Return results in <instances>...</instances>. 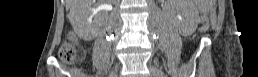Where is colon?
I'll use <instances>...</instances> for the list:
<instances>
[{
  "mask_svg": "<svg viewBox=\"0 0 258 77\" xmlns=\"http://www.w3.org/2000/svg\"><path fill=\"white\" fill-rule=\"evenodd\" d=\"M77 55L76 47L70 42L65 43L60 49V57L65 61H74Z\"/></svg>",
  "mask_w": 258,
  "mask_h": 77,
  "instance_id": "1",
  "label": "colon"
}]
</instances>
